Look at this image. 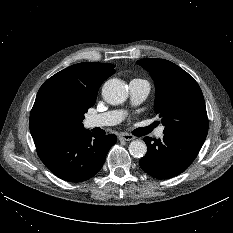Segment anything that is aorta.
Wrapping results in <instances>:
<instances>
[{
  "label": "aorta",
  "instance_id": "obj_1",
  "mask_svg": "<svg viewBox=\"0 0 233 233\" xmlns=\"http://www.w3.org/2000/svg\"><path fill=\"white\" fill-rule=\"evenodd\" d=\"M103 99L111 105H119L128 97L127 87L117 79H110L102 87ZM129 152L133 157L141 158L147 152V146L143 141L134 140L129 145Z\"/></svg>",
  "mask_w": 233,
  "mask_h": 233
}]
</instances>
